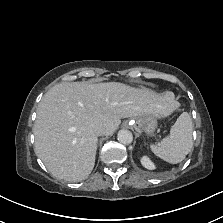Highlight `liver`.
Masks as SVG:
<instances>
[{"label": "liver", "mask_w": 223, "mask_h": 223, "mask_svg": "<svg viewBox=\"0 0 223 223\" xmlns=\"http://www.w3.org/2000/svg\"><path fill=\"white\" fill-rule=\"evenodd\" d=\"M178 105L170 91L158 95L118 82L57 84L37 108L35 153L54 177L81 181L95 164L98 138L94 126L101 124L105 135H112L121 118L147 114L164 118Z\"/></svg>", "instance_id": "obj_1"}]
</instances>
